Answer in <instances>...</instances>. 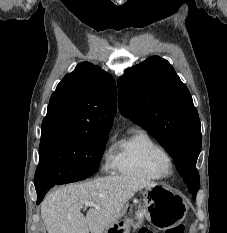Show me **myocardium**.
I'll list each match as a JSON object with an SVG mask.
<instances>
[{"instance_id": "f54148a6", "label": "myocardium", "mask_w": 227, "mask_h": 233, "mask_svg": "<svg viewBox=\"0 0 227 233\" xmlns=\"http://www.w3.org/2000/svg\"><path fill=\"white\" fill-rule=\"evenodd\" d=\"M156 167L163 177H170L175 171L174 160L167 153L157 159Z\"/></svg>"}]
</instances>
